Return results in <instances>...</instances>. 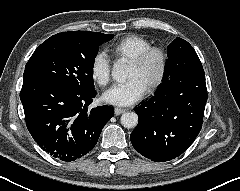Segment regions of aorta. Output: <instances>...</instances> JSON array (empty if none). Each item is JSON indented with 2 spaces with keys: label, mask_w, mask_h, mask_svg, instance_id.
Segmentation results:
<instances>
[{
  "label": "aorta",
  "mask_w": 240,
  "mask_h": 191,
  "mask_svg": "<svg viewBox=\"0 0 240 191\" xmlns=\"http://www.w3.org/2000/svg\"><path fill=\"white\" fill-rule=\"evenodd\" d=\"M128 75V66L125 62L118 60L114 63L112 69V77L117 82H125ZM138 116L135 112H126L121 116V124L125 128H134L137 126Z\"/></svg>",
  "instance_id": "1"
}]
</instances>
